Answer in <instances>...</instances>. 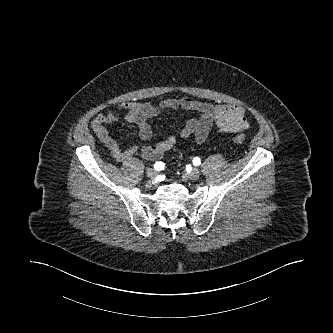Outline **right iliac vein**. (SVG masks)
Here are the masks:
<instances>
[{"label": "right iliac vein", "mask_w": 333, "mask_h": 333, "mask_svg": "<svg viewBox=\"0 0 333 333\" xmlns=\"http://www.w3.org/2000/svg\"><path fill=\"white\" fill-rule=\"evenodd\" d=\"M146 175L149 178H154L156 176V171L153 168H148L146 170Z\"/></svg>", "instance_id": "63e3f726"}]
</instances>
